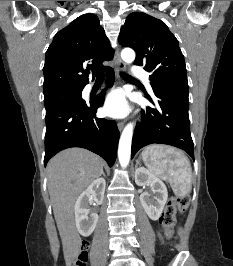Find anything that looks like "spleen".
<instances>
[{
  "label": "spleen",
  "instance_id": "spleen-1",
  "mask_svg": "<svg viewBox=\"0 0 233 266\" xmlns=\"http://www.w3.org/2000/svg\"><path fill=\"white\" fill-rule=\"evenodd\" d=\"M141 155L149 171L169 182L176 195L185 196L190 193L191 164L181 151L164 145H150Z\"/></svg>",
  "mask_w": 233,
  "mask_h": 266
}]
</instances>
